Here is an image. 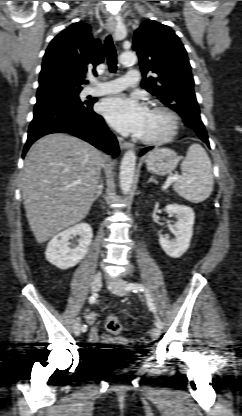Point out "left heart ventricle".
<instances>
[{
	"label": "left heart ventricle",
	"instance_id": "obj_1",
	"mask_svg": "<svg viewBox=\"0 0 242 416\" xmlns=\"http://www.w3.org/2000/svg\"><path fill=\"white\" fill-rule=\"evenodd\" d=\"M169 126L168 117L159 111L148 110L143 129L139 137L155 138L163 135Z\"/></svg>",
	"mask_w": 242,
	"mask_h": 416
}]
</instances>
